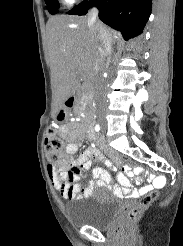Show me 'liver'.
Returning <instances> with one entry per match:
<instances>
[{
  "mask_svg": "<svg viewBox=\"0 0 183 246\" xmlns=\"http://www.w3.org/2000/svg\"><path fill=\"white\" fill-rule=\"evenodd\" d=\"M106 29L115 42L118 33ZM46 30L54 102L58 109L69 97L80 95L88 88V81L95 73L100 42L88 17L54 16L48 20ZM78 75L86 79V84H80Z\"/></svg>",
  "mask_w": 183,
  "mask_h": 246,
  "instance_id": "1",
  "label": "liver"
}]
</instances>
